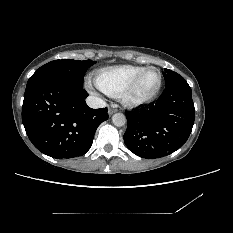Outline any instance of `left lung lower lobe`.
<instances>
[{"mask_svg": "<svg viewBox=\"0 0 233 233\" xmlns=\"http://www.w3.org/2000/svg\"><path fill=\"white\" fill-rule=\"evenodd\" d=\"M195 108L188 83L178 79L166 86L149 108L126 112L124 142L141 158H159L178 150L188 139Z\"/></svg>", "mask_w": 233, "mask_h": 233, "instance_id": "left-lung-lower-lobe-1", "label": "left lung lower lobe"}]
</instances>
